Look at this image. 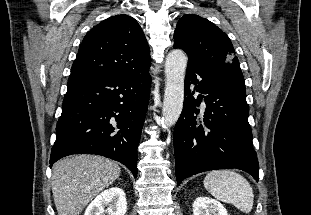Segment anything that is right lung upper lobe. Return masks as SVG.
I'll list each match as a JSON object with an SVG mask.
<instances>
[{
  "mask_svg": "<svg viewBox=\"0 0 311 215\" xmlns=\"http://www.w3.org/2000/svg\"><path fill=\"white\" fill-rule=\"evenodd\" d=\"M150 63V49L140 25L131 16L115 15L86 34L70 76H128L147 71Z\"/></svg>",
  "mask_w": 311,
  "mask_h": 215,
  "instance_id": "obj_1",
  "label": "right lung upper lobe"
}]
</instances>
